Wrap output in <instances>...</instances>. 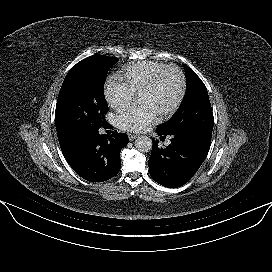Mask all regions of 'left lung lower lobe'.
Segmentation results:
<instances>
[{
    "label": "left lung lower lobe",
    "mask_w": 272,
    "mask_h": 272,
    "mask_svg": "<svg viewBox=\"0 0 272 272\" xmlns=\"http://www.w3.org/2000/svg\"><path fill=\"white\" fill-rule=\"evenodd\" d=\"M161 140L171 136V144L166 148L158 147L153 141L149 158L151 177L160 185L177 188L186 184L205 160L211 144V136L184 134H164L157 128Z\"/></svg>",
    "instance_id": "left-lung-lower-lobe-1"
}]
</instances>
